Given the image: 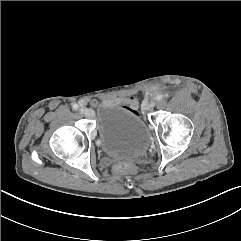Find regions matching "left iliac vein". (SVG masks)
<instances>
[{
  "mask_svg": "<svg viewBox=\"0 0 241 241\" xmlns=\"http://www.w3.org/2000/svg\"><path fill=\"white\" fill-rule=\"evenodd\" d=\"M155 106H156V101L155 100H152L150 102L144 103V109L145 110H150V109L154 108Z\"/></svg>",
  "mask_w": 241,
  "mask_h": 241,
  "instance_id": "obj_1",
  "label": "left iliac vein"
}]
</instances>
